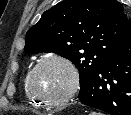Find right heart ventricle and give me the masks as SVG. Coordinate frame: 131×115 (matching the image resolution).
I'll list each match as a JSON object with an SVG mask.
<instances>
[{"mask_svg":"<svg viewBox=\"0 0 131 115\" xmlns=\"http://www.w3.org/2000/svg\"><path fill=\"white\" fill-rule=\"evenodd\" d=\"M27 77H28V74H26V76L24 77V80H23L24 94H25V96H26V98H27V100L30 104H32L33 106H40V103L30 94V92L28 90Z\"/></svg>","mask_w":131,"mask_h":115,"instance_id":"1","label":"right heart ventricle"}]
</instances>
